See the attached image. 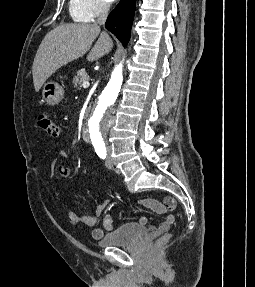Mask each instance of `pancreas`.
Instances as JSON below:
<instances>
[{"label": "pancreas", "mask_w": 255, "mask_h": 287, "mask_svg": "<svg viewBox=\"0 0 255 287\" xmlns=\"http://www.w3.org/2000/svg\"><path fill=\"white\" fill-rule=\"evenodd\" d=\"M77 76H74L72 80V84H74V88H78V86H82L83 82H89L90 78L87 76V72H85V68L82 70H78L76 72Z\"/></svg>", "instance_id": "obj_1"}]
</instances>
